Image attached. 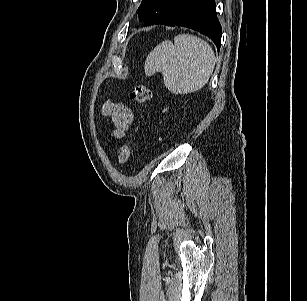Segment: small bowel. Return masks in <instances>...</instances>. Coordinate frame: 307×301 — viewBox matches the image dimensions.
<instances>
[{
	"label": "small bowel",
	"instance_id": "c3829d8e",
	"mask_svg": "<svg viewBox=\"0 0 307 301\" xmlns=\"http://www.w3.org/2000/svg\"><path fill=\"white\" fill-rule=\"evenodd\" d=\"M102 114L113 121L115 125L114 138L122 137L134 118L132 110L120 102H105L102 106Z\"/></svg>",
	"mask_w": 307,
	"mask_h": 301
}]
</instances>
